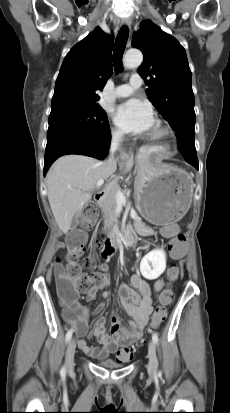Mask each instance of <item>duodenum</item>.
Returning <instances> with one entry per match:
<instances>
[{"label":"duodenum","instance_id":"410a0bca","mask_svg":"<svg viewBox=\"0 0 230 413\" xmlns=\"http://www.w3.org/2000/svg\"><path fill=\"white\" fill-rule=\"evenodd\" d=\"M108 189L102 188L99 190L95 195V200L97 202H102L106 197ZM133 238V234L131 230H127L123 232L119 227L112 226L106 236L102 247V256L104 258H108L115 254L117 249L122 244H128L131 242Z\"/></svg>","mask_w":230,"mask_h":413}]
</instances>
